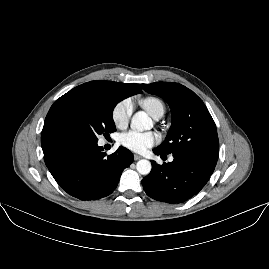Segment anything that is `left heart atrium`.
<instances>
[{
	"label": "left heart atrium",
	"instance_id": "obj_1",
	"mask_svg": "<svg viewBox=\"0 0 269 269\" xmlns=\"http://www.w3.org/2000/svg\"><path fill=\"white\" fill-rule=\"evenodd\" d=\"M159 142V136L155 132L127 131L120 135L119 143L124 148L142 153Z\"/></svg>",
	"mask_w": 269,
	"mask_h": 269
}]
</instances>
